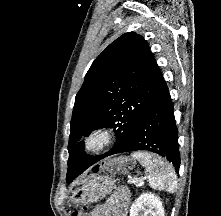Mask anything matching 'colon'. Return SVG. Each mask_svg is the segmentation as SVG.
<instances>
[{
  "label": "colon",
  "instance_id": "5ec220e1",
  "mask_svg": "<svg viewBox=\"0 0 221 216\" xmlns=\"http://www.w3.org/2000/svg\"><path fill=\"white\" fill-rule=\"evenodd\" d=\"M133 167V161L130 158H119L115 160H110L104 163L103 166L100 167L101 170H109V169H117L119 171H127ZM72 216H89L86 207H82L81 209L75 211Z\"/></svg>",
  "mask_w": 221,
  "mask_h": 216
}]
</instances>
